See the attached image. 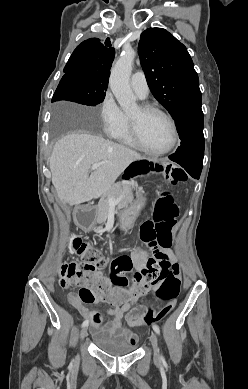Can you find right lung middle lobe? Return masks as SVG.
I'll use <instances>...</instances> for the list:
<instances>
[{"label":"right lung middle lobe","mask_w":248,"mask_h":389,"mask_svg":"<svg viewBox=\"0 0 248 389\" xmlns=\"http://www.w3.org/2000/svg\"><path fill=\"white\" fill-rule=\"evenodd\" d=\"M106 90V85L91 82L83 72H66L52 101L68 100L82 105L96 106L103 102Z\"/></svg>","instance_id":"dd1d6c3e"}]
</instances>
